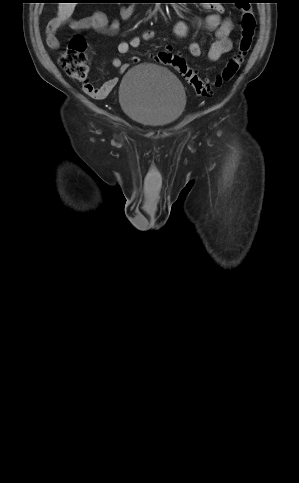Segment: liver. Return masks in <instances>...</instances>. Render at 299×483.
<instances>
[{"label": "liver", "mask_w": 299, "mask_h": 483, "mask_svg": "<svg viewBox=\"0 0 299 483\" xmlns=\"http://www.w3.org/2000/svg\"><path fill=\"white\" fill-rule=\"evenodd\" d=\"M76 3H59L58 6V19L59 21H65L71 17Z\"/></svg>", "instance_id": "1"}]
</instances>
